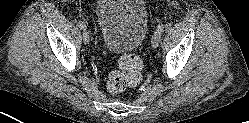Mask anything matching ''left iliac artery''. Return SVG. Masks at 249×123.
<instances>
[{
	"instance_id": "1",
	"label": "left iliac artery",
	"mask_w": 249,
	"mask_h": 123,
	"mask_svg": "<svg viewBox=\"0 0 249 123\" xmlns=\"http://www.w3.org/2000/svg\"><path fill=\"white\" fill-rule=\"evenodd\" d=\"M157 31L160 32L161 34L164 32V25L163 24H159L157 26Z\"/></svg>"
}]
</instances>
